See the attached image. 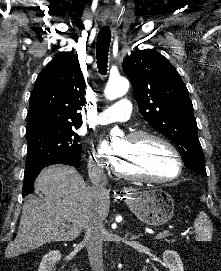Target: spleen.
Instances as JSON below:
<instances>
[{
	"label": "spleen",
	"mask_w": 221,
	"mask_h": 271,
	"mask_svg": "<svg viewBox=\"0 0 221 271\" xmlns=\"http://www.w3.org/2000/svg\"><path fill=\"white\" fill-rule=\"evenodd\" d=\"M194 227L196 231V241H211L213 231L212 223L205 211L198 213L194 221Z\"/></svg>",
	"instance_id": "3e777b00"
}]
</instances>
